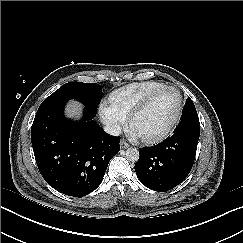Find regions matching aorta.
Instances as JSON below:
<instances>
[{"instance_id": "1", "label": "aorta", "mask_w": 243, "mask_h": 243, "mask_svg": "<svg viewBox=\"0 0 243 243\" xmlns=\"http://www.w3.org/2000/svg\"><path fill=\"white\" fill-rule=\"evenodd\" d=\"M139 151L137 148H128L126 151V159L131 162H136L139 159Z\"/></svg>"}]
</instances>
